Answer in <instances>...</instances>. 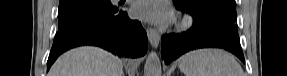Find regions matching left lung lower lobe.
I'll return each mask as SVG.
<instances>
[{
    "label": "left lung lower lobe",
    "instance_id": "0a47b994",
    "mask_svg": "<svg viewBox=\"0 0 287 76\" xmlns=\"http://www.w3.org/2000/svg\"><path fill=\"white\" fill-rule=\"evenodd\" d=\"M193 17V26L187 32L162 36L161 55L165 64L190 50L207 47L223 48L245 63L238 34L229 33L203 19Z\"/></svg>",
    "mask_w": 287,
    "mask_h": 76
}]
</instances>
